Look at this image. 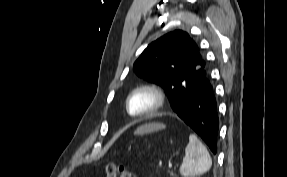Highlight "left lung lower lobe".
I'll list each match as a JSON object with an SVG mask.
<instances>
[{
    "label": "left lung lower lobe",
    "instance_id": "left-lung-lower-lobe-1",
    "mask_svg": "<svg viewBox=\"0 0 287 177\" xmlns=\"http://www.w3.org/2000/svg\"><path fill=\"white\" fill-rule=\"evenodd\" d=\"M173 110L216 154L219 120L213 87L206 70L196 84L186 88L180 103Z\"/></svg>",
    "mask_w": 287,
    "mask_h": 177
}]
</instances>
